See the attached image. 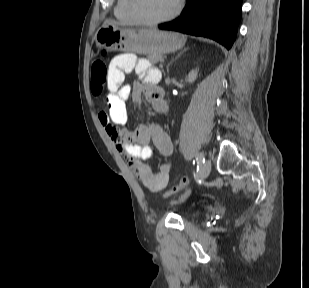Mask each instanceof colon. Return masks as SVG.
I'll use <instances>...</instances> for the list:
<instances>
[{
    "label": "colon",
    "instance_id": "colon-1",
    "mask_svg": "<svg viewBox=\"0 0 309 288\" xmlns=\"http://www.w3.org/2000/svg\"><path fill=\"white\" fill-rule=\"evenodd\" d=\"M108 67L103 60L95 61L91 66V89L94 94H100L107 86ZM189 184V179L183 177L163 194V198L172 196Z\"/></svg>",
    "mask_w": 309,
    "mask_h": 288
}]
</instances>
